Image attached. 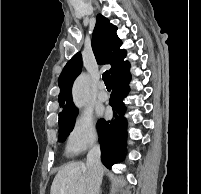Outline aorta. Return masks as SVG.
I'll list each match as a JSON object with an SVG mask.
<instances>
[{"label": "aorta", "instance_id": "obj_1", "mask_svg": "<svg viewBox=\"0 0 201 194\" xmlns=\"http://www.w3.org/2000/svg\"><path fill=\"white\" fill-rule=\"evenodd\" d=\"M73 101L77 107H83L88 101L89 78L81 74L74 82L72 89Z\"/></svg>", "mask_w": 201, "mask_h": 194}]
</instances>
